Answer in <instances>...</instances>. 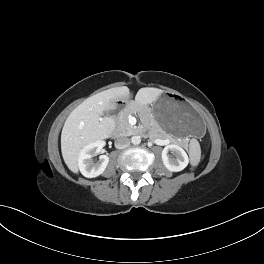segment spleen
Returning a JSON list of instances; mask_svg holds the SVG:
<instances>
[{
    "label": "spleen",
    "mask_w": 264,
    "mask_h": 264,
    "mask_svg": "<svg viewBox=\"0 0 264 264\" xmlns=\"http://www.w3.org/2000/svg\"><path fill=\"white\" fill-rule=\"evenodd\" d=\"M200 161V153L198 152L197 156L193 159V165H197Z\"/></svg>",
    "instance_id": "obj_1"
}]
</instances>
